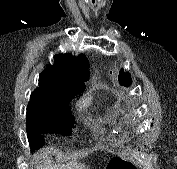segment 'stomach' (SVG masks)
<instances>
[{
  "label": "stomach",
  "mask_w": 177,
  "mask_h": 169,
  "mask_svg": "<svg viewBox=\"0 0 177 169\" xmlns=\"http://www.w3.org/2000/svg\"><path fill=\"white\" fill-rule=\"evenodd\" d=\"M140 167L133 160L116 156L111 159L107 169H139Z\"/></svg>",
  "instance_id": "0dacf381"
}]
</instances>
